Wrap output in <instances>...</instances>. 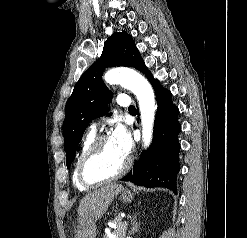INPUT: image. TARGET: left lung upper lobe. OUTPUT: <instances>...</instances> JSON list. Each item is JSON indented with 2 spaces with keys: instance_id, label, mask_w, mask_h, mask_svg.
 Segmentation results:
<instances>
[{
  "instance_id": "obj_1",
  "label": "left lung upper lobe",
  "mask_w": 247,
  "mask_h": 238,
  "mask_svg": "<svg viewBox=\"0 0 247 238\" xmlns=\"http://www.w3.org/2000/svg\"><path fill=\"white\" fill-rule=\"evenodd\" d=\"M112 66L134 67L146 76L150 73L133 39L125 31L114 33L105 41L101 57L83 73L66 103L63 133L67 167L73 161L88 123L108 112L112 93L101 76L105 67Z\"/></svg>"
}]
</instances>
